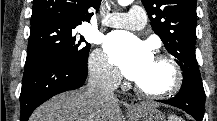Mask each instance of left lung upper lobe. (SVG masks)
I'll return each instance as SVG.
<instances>
[{
	"instance_id": "left-lung-upper-lobe-1",
	"label": "left lung upper lobe",
	"mask_w": 217,
	"mask_h": 121,
	"mask_svg": "<svg viewBox=\"0 0 217 121\" xmlns=\"http://www.w3.org/2000/svg\"><path fill=\"white\" fill-rule=\"evenodd\" d=\"M151 26L183 71L202 81L195 55L196 0H142Z\"/></svg>"
}]
</instances>
